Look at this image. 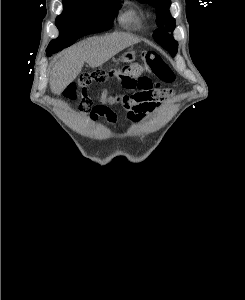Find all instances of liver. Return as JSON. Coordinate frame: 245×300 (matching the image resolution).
<instances>
[{"label": "liver", "mask_w": 245, "mask_h": 300, "mask_svg": "<svg viewBox=\"0 0 245 300\" xmlns=\"http://www.w3.org/2000/svg\"><path fill=\"white\" fill-rule=\"evenodd\" d=\"M138 42L135 37L125 33H112L93 37L63 53L55 63L50 74V88L60 95L73 82L82 70L84 63L99 67L121 50Z\"/></svg>", "instance_id": "liver-1"}]
</instances>
